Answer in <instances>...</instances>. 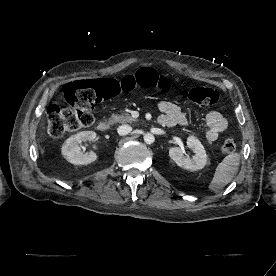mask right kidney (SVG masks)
Segmentation results:
<instances>
[{"mask_svg": "<svg viewBox=\"0 0 276 276\" xmlns=\"http://www.w3.org/2000/svg\"><path fill=\"white\" fill-rule=\"evenodd\" d=\"M96 138L94 131H83L69 137L62 145L63 157L74 165H87L97 160L95 152L83 153L80 144Z\"/></svg>", "mask_w": 276, "mask_h": 276, "instance_id": "obj_1", "label": "right kidney"}]
</instances>
